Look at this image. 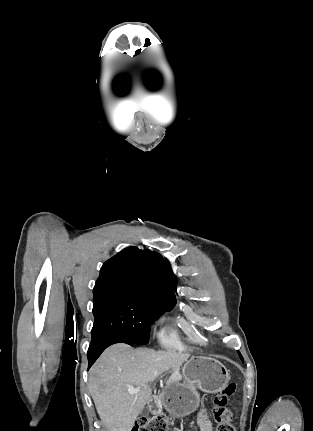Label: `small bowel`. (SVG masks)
I'll return each instance as SVG.
<instances>
[{"mask_svg": "<svg viewBox=\"0 0 313 431\" xmlns=\"http://www.w3.org/2000/svg\"><path fill=\"white\" fill-rule=\"evenodd\" d=\"M198 422L202 431H212V424L209 420L205 409H201L199 413Z\"/></svg>", "mask_w": 313, "mask_h": 431, "instance_id": "c3829d8e", "label": "small bowel"}]
</instances>
